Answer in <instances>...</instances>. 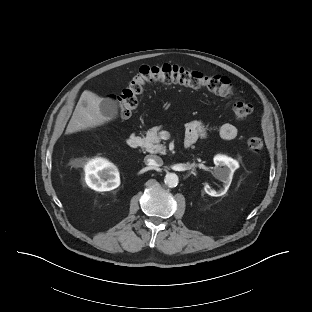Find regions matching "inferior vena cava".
Here are the masks:
<instances>
[{
	"label": "inferior vena cava",
	"instance_id": "1",
	"mask_svg": "<svg viewBox=\"0 0 312 312\" xmlns=\"http://www.w3.org/2000/svg\"><path fill=\"white\" fill-rule=\"evenodd\" d=\"M144 160L146 165L151 166L153 168H157L163 165L162 158L156 155H148L145 157Z\"/></svg>",
	"mask_w": 312,
	"mask_h": 312
}]
</instances>
